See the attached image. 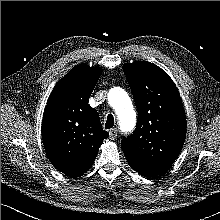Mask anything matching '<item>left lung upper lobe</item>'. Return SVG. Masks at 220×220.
I'll use <instances>...</instances> for the list:
<instances>
[{
    "mask_svg": "<svg viewBox=\"0 0 220 220\" xmlns=\"http://www.w3.org/2000/svg\"><path fill=\"white\" fill-rule=\"evenodd\" d=\"M123 70L138 109L134 133L123 138L128 164L144 176L167 170L178 157L186 137V116L179 92L158 66L137 61Z\"/></svg>",
    "mask_w": 220,
    "mask_h": 220,
    "instance_id": "1",
    "label": "left lung upper lobe"
}]
</instances>
